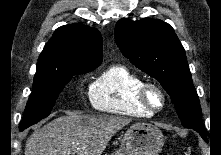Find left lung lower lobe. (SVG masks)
I'll return each instance as SVG.
<instances>
[{
    "instance_id": "obj_1",
    "label": "left lung lower lobe",
    "mask_w": 221,
    "mask_h": 155,
    "mask_svg": "<svg viewBox=\"0 0 221 155\" xmlns=\"http://www.w3.org/2000/svg\"><path fill=\"white\" fill-rule=\"evenodd\" d=\"M194 130L197 131L200 135H202V138L206 141V135L203 129H194Z\"/></svg>"
}]
</instances>
